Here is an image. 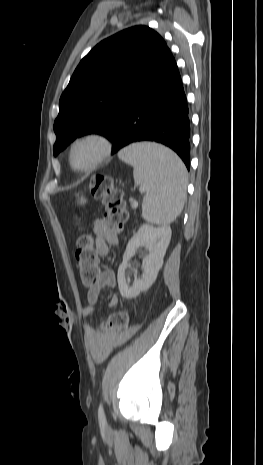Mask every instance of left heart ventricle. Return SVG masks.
I'll list each match as a JSON object with an SVG mask.
<instances>
[{
	"mask_svg": "<svg viewBox=\"0 0 263 465\" xmlns=\"http://www.w3.org/2000/svg\"><path fill=\"white\" fill-rule=\"evenodd\" d=\"M100 151L101 146L97 141H83L73 150V163L77 168H85L97 158Z\"/></svg>",
	"mask_w": 263,
	"mask_h": 465,
	"instance_id": "obj_1",
	"label": "left heart ventricle"
}]
</instances>
